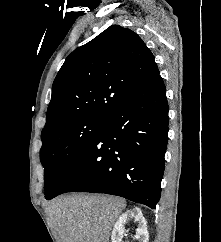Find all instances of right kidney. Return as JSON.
Wrapping results in <instances>:
<instances>
[{
	"label": "right kidney",
	"instance_id": "ca27d5eb",
	"mask_svg": "<svg viewBox=\"0 0 221 242\" xmlns=\"http://www.w3.org/2000/svg\"><path fill=\"white\" fill-rule=\"evenodd\" d=\"M131 218H134L135 222H137L138 224L135 238L139 242H148L149 233L147 231V222L143 217V214L139 208H133V209L127 210L118 218L112 231L111 242H122V236L125 233L124 225Z\"/></svg>",
	"mask_w": 221,
	"mask_h": 242
}]
</instances>
